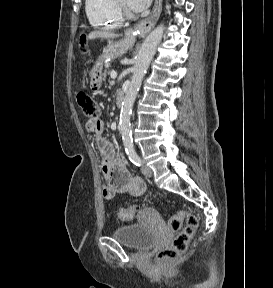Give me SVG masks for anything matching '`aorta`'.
Returning <instances> with one entry per match:
<instances>
[{
    "instance_id": "obj_1",
    "label": "aorta",
    "mask_w": 273,
    "mask_h": 288,
    "mask_svg": "<svg viewBox=\"0 0 273 288\" xmlns=\"http://www.w3.org/2000/svg\"><path fill=\"white\" fill-rule=\"evenodd\" d=\"M164 33V26L161 24L156 27L143 41L137 54L133 67L129 89L122 102L120 111L119 127L122 134V140L127 154H134V146L130 129V116L136 96L140 89L143 77L155 55L157 46L160 44Z\"/></svg>"
}]
</instances>
